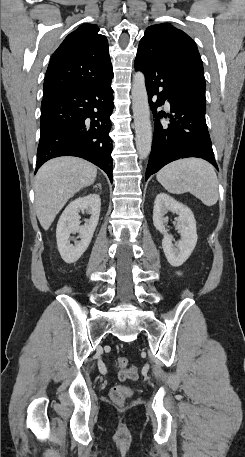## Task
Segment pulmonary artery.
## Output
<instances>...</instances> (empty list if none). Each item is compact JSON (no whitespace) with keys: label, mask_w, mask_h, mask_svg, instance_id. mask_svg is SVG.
Returning <instances> with one entry per match:
<instances>
[{"label":"pulmonary artery","mask_w":245,"mask_h":457,"mask_svg":"<svg viewBox=\"0 0 245 457\" xmlns=\"http://www.w3.org/2000/svg\"><path fill=\"white\" fill-rule=\"evenodd\" d=\"M163 107H164V108H168V107H169V104H168V103H164V104H163Z\"/></svg>","instance_id":"obj_1"}]
</instances>
